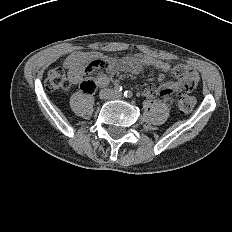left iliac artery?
Wrapping results in <instances>:
<instances>
[{
    "mask_svg": "<svg viewBox=\"0 0 232 232\" xmlns=\"http://www.w3.org/2000/svg\"><path fill=\"white\" fill-rule=\"evenodd\" d=\"M124 96H125L126 98H130V97L132 96V93H131L130 91H125V92H124Z\"/></svg>",
    "mask_w": 232,
    "mask_h": 232,
    "instance_id": "44dca946",
    "label": "left iliac artery"
}]
</instances>
